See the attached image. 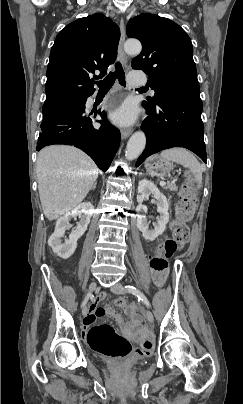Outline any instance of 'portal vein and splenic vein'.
I'll use <instances>...</instances> for the list:
<instances>
[{
    "label": "portal vein and splenic vein",
    "mask_w": 243,
    "mask_h": 404,
    "mask_svg": "<svg viewBox=\"0 0 243 404\" xmlns=\"http://www.w3.org/2000/svg\"><path fill=\"white\" fill-rule=\"evenodd\" d=\"M159 185H160V186H165V182L160 181V182H159Z\"/></svg>",
    "instance_id": "1"
}]
</instances>
